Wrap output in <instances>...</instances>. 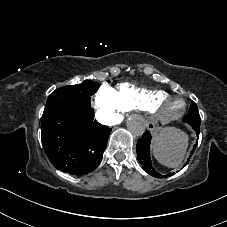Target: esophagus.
<instances>
[{"label": "esophagus", "instance_id": "1", "mask_svg": "<svg viewBox=\"0 0 227 227\" xmlns=\"http://www.w3.org/2000/svg\"><path fill=\"white\" fill-rule=\"evenodd\" d=\"M143 124H144V126L148 129V131L149 132H154L155 131V126H156V123H155V121L152 119V118H150V117H147V118H145L144 119V121H143Z\"/></svg>", "mask_w": 227, "mask_h": 227}]
</instances>
